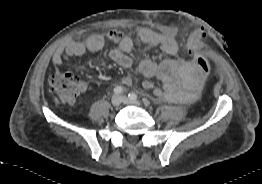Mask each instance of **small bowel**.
<instances>
[{
	"label": "small bowel",
	"mask_w": 262,
	"mask_h": 184,
	"mask_svg": "<svg viewBox=\"0 0 262 184\" xmlns=\"http://www.w3.org/2000/svg\"><path fill=\"white\" fill-rule=\"evenodd\" d=\"M106 39L116 44L109 54L111 60L123 68H129L132 65L129 53L136 44L159 47L167 56L165 60L156 63L144 59L138 67L144 76L158 78L162 82V86H155L150 80L143 81L142 86L152 90L156 96L173 103H191L199 98L206 73L199 70L189 59L180 56L179 46L174 35L143 29L136 36H132L118 30H111L106 34ZM207 39V27L204 24H199L189 31L185 50L192 54L196 52L198 40L205 42ZM104 45L105 38L99 34L91 35L84 41L68 42L55 50L52 63L60 65L71 57H82L89 53L99 52ZM131 82L130 77L124 79L125 84Z\"/></svg>",
	"instance_id": "c3829d8e"
}]
</instances>
